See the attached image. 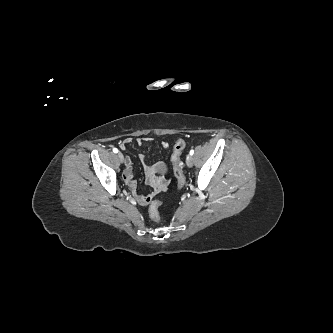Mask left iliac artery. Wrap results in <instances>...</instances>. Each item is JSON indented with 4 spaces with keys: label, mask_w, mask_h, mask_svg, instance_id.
Masks as SVG:
<instances>
[{
    "label": "left iliac artery",
    "mask_w": 333,
    "mask_h": 333,
    "mask_svg": "<svg viewBox=\"0 0 333 333\" xmlns=\"http://www.w3.org/2000/svg\"><path fill=\"white\" fill-rule=\"evenodd\" d=\"M193 154H194V150L191 149V150H190V155H193Z\"/></svg>",
    "instance_id": "obj_1"
}]
</instances>
